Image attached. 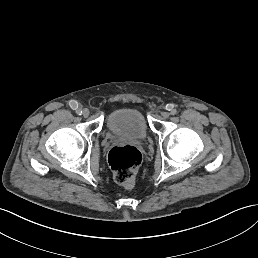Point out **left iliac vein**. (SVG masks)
<instances>
[{
	"mask_svg": "<svg viewBox=\"0 0 258 258\" xmlns=\"http://www.w3.org/2000/svg\"><path fill=\"white\" fill-rule=\"evenodd\" d=\"M169 117H170V114H169L168 112H165V113L163 114V119H164V120H167Z\"/></svg>",
	"mask_w": 258,
	"mask_h": 258,
	"instance_id": "left-iliac-vein-1",
	"label": "left iliac vein"
}]
</instances>
